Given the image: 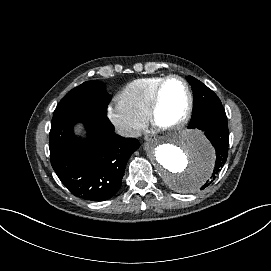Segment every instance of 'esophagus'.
<instances>
[{
  "label": "esophagus",
  "instance_id": "1",
  "mask_svg": "<svg viewBox=\"0 0 271 271\" xmlns=\"http://www.w3.org/2000/svg\"><path fill=\"white\" fill-rule=\"evenodd\" d=\"M157 136L155 134H148L145 136V141L149 143H156L157 142Z\"/></svg>",
  "mask_w": 271,
  "mask_h": 271
}]
</instances>
